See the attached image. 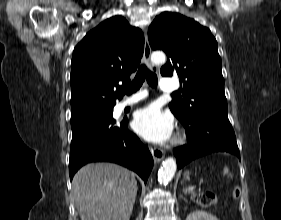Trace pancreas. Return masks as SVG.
<instances>
[{"instance_id":"cf45deb5","label":"pancreas","mask_w":281,"mask_h":220,"mask_svg":"<svg viewBox=\"0 0 281 220\" xmlns=\"http://www.w3.org/2000/svg\"><path fill=\"white\" fill-rule=\"evenodd\" d=\"M191 197H192V199H195L196 194L194 192H191Z\"/></svg>"}]
</instances>
